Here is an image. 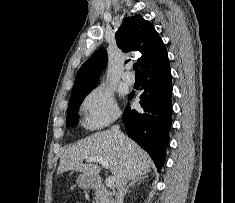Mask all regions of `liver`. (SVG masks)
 <instances>
[{
	"label": "liver",
	"mask_w": 235,
	"mask_h": 203,
	"mask_svg": "<svg viewBox=\"0 0 235 203\" xmlns=\"http://www.w3.org/2000/svg\"><path fill=\"white\" fill-rule=\"evenodd\" d=\"M125 137L121 141L111 130L97 132L76 144L69 146L62 153L57 173L76 170L96 177L100 172L97 164L83 161L93 157H101L109 164L115 177V187L123 179L132 180L150 171L152 161L149 155L133 140Z\"/></svg>",
	"instance_id": "6515ba94"
}]
</instances>
